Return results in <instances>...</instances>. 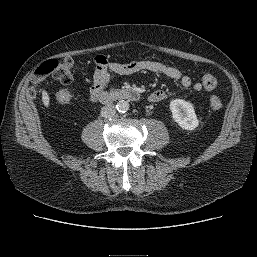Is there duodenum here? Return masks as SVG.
<instances>
[{
    "mask_svg": "<svg viewBox=\"0 0 257 257\" xmlns=\"http://www.w3.org/2000/svg\"><path fill=\"white\" fill-rule=\"evenodd\" d=\"M139 99H140L139 92L131 88H125V89H120L116 91L101 92L99 95V101L104 104L115 100L138 101Z\"/></svg>",
    "mask_w": 257,
    "mask_h": 257,
    "instance_id": "obj_1",
    "label": "duodenum"
}]
</instances>
